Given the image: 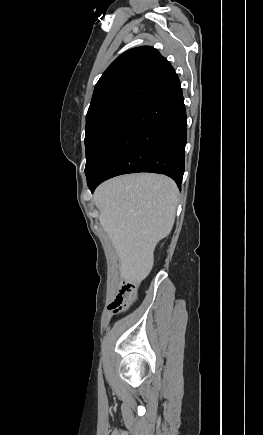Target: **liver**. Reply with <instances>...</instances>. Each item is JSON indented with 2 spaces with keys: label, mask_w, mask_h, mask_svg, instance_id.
I'll use <instances>...</instances> for the list:
<instances>
[{
  "label": "liver",
  "mask_w": 263,
  "mask_h": 435,
  "mask_svg": "<svg viewBox=\"0 0 263 435\" xmlns=\"http://www.w3.org/2000/svg\"><path fill=\"white\" fill-rule=\"evenodd\" d=\"M178 194L171 178L147 173L116 177L96 189L100 224L119 256L122 279L140 283L150 273L154 249L174 225Z\"/></svg>",
  "instance_id": "6515ba94"
}]
</instances>
